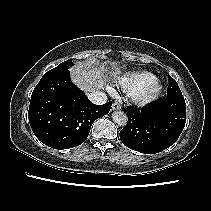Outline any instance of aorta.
<instances>
[{
  "label": "aorta",
  "instance_id": "obj_1",
  "mask_svg": "<svg viewBox=\"0 0 211 211\" xmlns=\"http://www.w3.org/2000/svg\"><path fill=\"white\" fill-rule=\"evenodd\" d=\"M112 120L119 126H125L127 124V115L122 111H114L112 113Z\"/></svg>",
  "mask_w": 211,
  "mask_h": 211
}]
</instances>
